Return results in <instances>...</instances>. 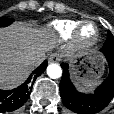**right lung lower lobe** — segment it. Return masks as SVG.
<instances>
[{"instance_id":"obj_1","label":"right lung lower lobe","mask_w":114,"mask_h":114,"mask_svg":"<svg viewBox=\"0 0 114 114\" xmlns=\"http://www.w3.org/2000/svg\"><path fill=\"white\" fill-rule=\"evenodd\" d=\"M47 65L48 63L45 60L19 87L10 91L0 90V113L11 112L24 105L31 93V80H36L45 71Z\"/></svg>"}]
</instances>
